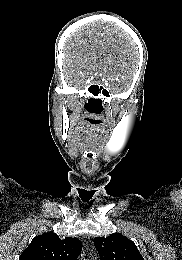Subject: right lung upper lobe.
Wrapping results in <instances>:
<instances>
[{
  "label": "right lung upper lobe",
  "mask_w": 182,
  "mask_h": 260,
  "mask_svg": "<svg viewBox=\"0 0 182 260\" xmlns=\"http://www.w3.org/2000/svg\"><path fill=\"white\" fill-rule=\"evenodd\" d=\"M82 243L76 238L61 240L57 234L36 236L24 250L19 260H77Z\"/></svg>",
  "instance_id": "right-lung-upper-lobe-1"
}]
</instances>
